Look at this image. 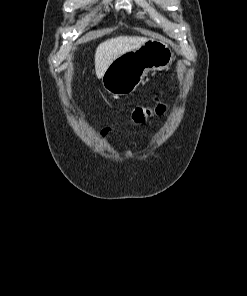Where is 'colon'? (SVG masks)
<instances>
[{
	"mask_svg": "<svg viewBox=\"0 0 247 296\" xmlns=\"http://www.w3.org/2000/svg\"><path fill=\"white\" fill-rule=\"evenodd\" d=\"M165 105L159 101H157L151 107H137L133 111V119L138 122H144L148 117L155 115H161L165 111Z\"/></svg>",
	"mask_w": 247,
	"mask_h": 296,
	"instance_id": "5ec220e1",
	"label": "colon"
}]
</instances>
